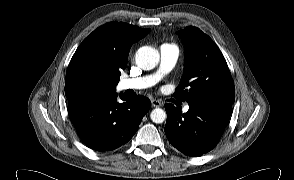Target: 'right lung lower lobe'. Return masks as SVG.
<instances>
[{
    "mask_svg": "<svg viewBox=\"0 0 294 180\" xmlns=\"http://www.w3.org/2000/svg\"><path fill=\"white\" fill-rule=\"evenodd\" d=\"M110 93L69 104L68 114L82 139L96 151H109L127 143L151 107L148 98L138 95L134 99L120 93Z\"/></svg>",
    "mask_w": 294,
    "mask_h": 180,
    "instance_id": "98d812e1",
    "label": "right lung lower lobe"
}]
</instances>
